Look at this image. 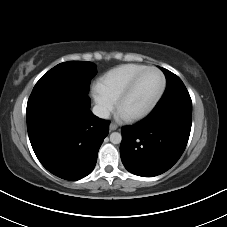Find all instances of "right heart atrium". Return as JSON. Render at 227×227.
Wrapping results in <instances>:
<instances>
[{
  "label": "right heart atrium",
  "mask_w": 227,
  "mask_h": 227,
  "mask_svg": "<svg viewBox=\"0 0 227 227\" xmlns=\"http://www.w3.org/2000/svg\"><path fill=\"white\" fill-rule=\"evenodd\" d=\"M93 97L102 115H107L115 106V100L98 86L94 89Z\"/></svg>",
  "instance_id": "d8ad5b80"
}]
</instances>
